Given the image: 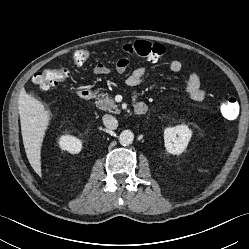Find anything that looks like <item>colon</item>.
I'll return each instance as SVG.
<instances>
[{"mask_svg":"<svg viewBox=\"0 0 249 249\" xmlns=\"http://www.w3.org/2000/svg\"><path fill=\"white\" fill-rule=\"evenodd\" d=\"M122 52L128 55L139 56L149 61H159L165 55V47L159 43H153L146 40H138L132 43L124 44L121 47ZM90 58V53L85 49H78L72 54L71 62L75 67L82 66ZM69 74L63 67H50L38 72L33 77V81L41 90H49L59 83L64 82ZM238 107L237 101L233 98H227L221 101L220 110L223 116L230 120Z\"/></svg>","mask_w":249,"mask_h":249,"instance_id":"5ec220e1","label":"colon"}]
</instances>
